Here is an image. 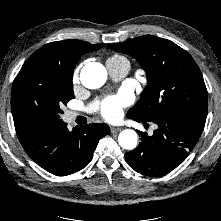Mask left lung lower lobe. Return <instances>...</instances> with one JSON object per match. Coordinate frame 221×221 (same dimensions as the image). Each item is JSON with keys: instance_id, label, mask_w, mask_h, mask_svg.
Here are the masks:
<instances>
[{"instance_id": "obj_1", "label": "left lung lower lobe", "mask_w": 221, "mask_h": 221, "mask_svg": "<svg viewBox=\"0 0 221 221\" xmlns=\"http://www.w3.org/2000/svg\"><path fill=\"white\" fill-rule=\"evenodd\" d=\"M146 123L142 118L128 116ZM206 119L194 115H178L167 119H154L158 125L152 136L138 131L141 142L125 154L130 167L146 176L158 177L179 166L194 148L203 132Z\"/></svg>"}]
</instances>
